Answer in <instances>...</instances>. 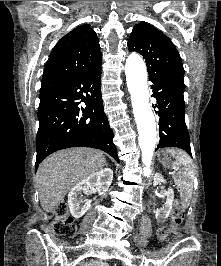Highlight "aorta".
<instances>
[{
  "label": "aorta",
  "mask_w": 221,
  "mask_h": 266,
  "mask_svg": "<svg viewBox=\"0 0 221 266\" xmlns=\"http://www.w3.org/2000/svg\"><path fill=\"white\" fill-rule=\"evenodd\" d=\"M125 74L138 128V144L142 152V163L144 165L143 173L144 176L149 177L156 144V122L149 104L146 66L138 54L132 53L128 56Z\"/></svg>",
  "instance_id": "1"
}]
</instances>
